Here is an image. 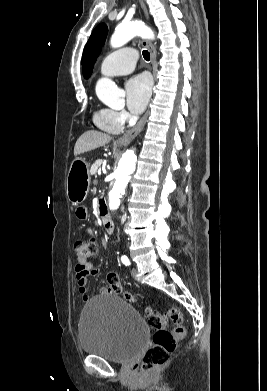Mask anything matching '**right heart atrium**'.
Wrapping results in <instances>:
<instances>
[{
  "mask_svg": "<svg viewBox=\"0 0 267 391\" xmlns=\"http://www.w3.org/2000/svg\"><path fill=\"white\" fill-rule=\"evenodd\" d=\"M112 118L115 122L123 125L129 118L128 114L124 110H111Z\"/></svg>",
  "mask_w": 267,
  "mask_h": 391,
  "instance_id": "1",
  "label": "right heart atrium"
}]
</instances>
